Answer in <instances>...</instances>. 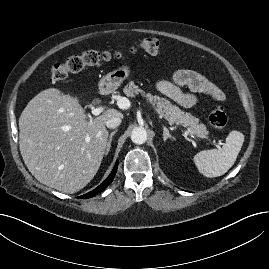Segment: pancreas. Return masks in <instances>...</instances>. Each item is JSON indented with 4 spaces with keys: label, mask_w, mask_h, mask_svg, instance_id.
Instances as JSON below:
<instances>
[{
    "label": "pancreas",
    "mask_w": 269,
    "mask_h": 269,
    "mask_svg": "<svg viewBox=\"0 0 269 269\" xmlns=\"http://www.w3.org/2000/svg\"><path fill=\"white\" fill-rule=\"evenodd\" d=\"M123 92L126 96L134 97L137 94H141L147 98V101L158 114L164 116L169 123H177L186 127L193 135L200 138H207L209 132L203 123H200L199 119L192 114L182 111L179 107L172 105L170 101L165 98H161L157 95L145 93L142 89H139L133 81H130Z\"/></svg>",
    "instance_id": "obj_1"
}]
</instances>
